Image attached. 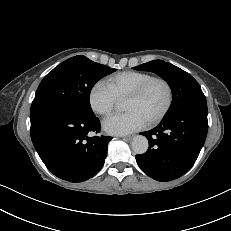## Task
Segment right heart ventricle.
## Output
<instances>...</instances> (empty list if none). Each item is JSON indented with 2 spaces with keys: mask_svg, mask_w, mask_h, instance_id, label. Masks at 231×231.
<instances>
[{
  "mask_svg": "<svg viewBox=\"0 0 231 231\" xmlns=\"http://www.w3.org/2000/svg\"><path fill=\"white\" fill-rule=\"evenodd\" d=\"M152 75L142 71H123L110 76L107 86L118 99L127 97L131 92L150 79Z\"/></svg>",
  "mask_w": 231,
  "mask_h": 231,
  "instance_id": "1",
  "label": "right heart ventricle"
}]
</instances>
